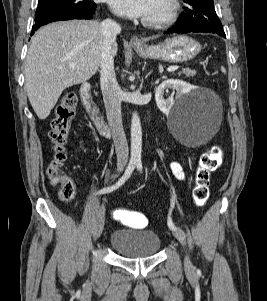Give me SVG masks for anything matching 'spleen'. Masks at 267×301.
Wrapping results in <instances>:
<instances>
[{
  "mask_svg": "<svg viewBox=\"0 0 267 301\" xmlns=\"http://www.w3.org/2000/svg\"><path fill=\"white\" fill-rule=\"evenodd\" d=\"M221 71H222V73H226V70H225V68L224 67H221Z\"/></svg>",
  "mask_w": 267,
  "mask_h": 301,
  "instance_id": "3e777b00",
  "label": "spleen"
}]
</instances>
